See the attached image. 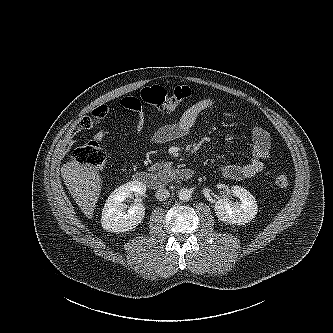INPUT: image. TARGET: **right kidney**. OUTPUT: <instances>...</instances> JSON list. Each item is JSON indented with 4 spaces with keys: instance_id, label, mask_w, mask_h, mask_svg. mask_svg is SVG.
I'll return each mask as SVG.
<instances>
[{
    "instance_id": "obj_1",
    "label": "right kidney",
    "mask_w": 333,
    "mask_h": 333,
    "mask_svg": "<svg viewBox=\"0 0 333 333\" xmlns=\"http://www.w3.org/2000/svg\"><path fill=\"white\" fill-rule=\"evenodd\" d=\"M146 186L138 181H131L116 188L106 200L102 211V227L109 232H125L136 228L145 216V207L137 203L129 207L123 201L133 194L145 196Z\"/></svg>"
}]
</instances>
